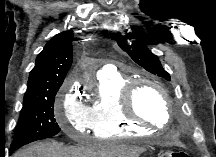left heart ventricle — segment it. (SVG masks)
<instances>
[{"mask_svg":"<svg viewBox=\"0 0 216 157\" xmlns=\"http://www.w3.org/2000/svg\"><path fill=\"white\" fill-rule=\"evenodd\" d=\"M135 110L142 117L162 126L166 123L167 112L160 92L147 84L139 87L134 100Z\"/></svg>","mask_w":216,"mask_h":157,"instance_id":"obj_1","label":"left heart ventricle"}]
</instances>
